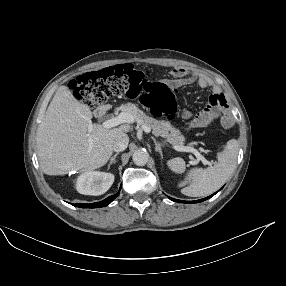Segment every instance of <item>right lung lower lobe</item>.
Segmentation results:
<instances>
[{"label":"right lung lower lobe","instance_id":"98d812e1","mask_svg":"<svg viewBox=\"0 0 286 286\" xmlns=\"http://www.w3.org/2000/svg\"><path fill=\"white\" fill-rule=\"evenodd\" d=\"M119 193L115 194V195H111L108 198H106L105 200L101 201V202H96V203H92V204H73L76 207H81V208H97V207H105L108 204H110L117 196Z\"/></svg>","mask_w":286,"mask_h":286}]
</instances>
